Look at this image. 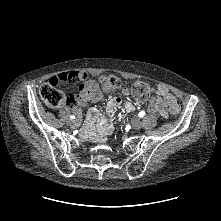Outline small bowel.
<instances>
[{
	"mask_svg": "<svg viewBox=\"0 0 221 221\" xmlns=\"http://www.w3.org/2000/svg\"><path fill=\"white\" fill-rule=\"evenodd\" d=\"M88 74L85 72H62L56 76L51 75L48 78V85L59 87L60 83L71 82L78 83L79 81L87 80ZM154 96L149 102L148 110L154 115L163 118L168 117L169 108L166 103L167 97H174L164 85H157L154 89ZM123 95H128L126 88L122 89ZM101 93L98 84L93 80H87L80 86V94L76 97V103L72 108L73 112L78 116L81 115V107H84L89 102H96L100 100ZM121 105V99L112 96L106 103V115L101 114L97 109L92 108L88 111L86 117V133L97 143H105L108 137L113 133L114 126L112 123V116ZM125 110L127 113L135 111V105L132 102L125 103Z\"/></svg>",
	"mask_w": 221,
	"mask_h": 221,
	"instance_id": "1",
	"label": "small bowel"
}]
</instances>
